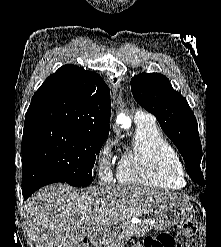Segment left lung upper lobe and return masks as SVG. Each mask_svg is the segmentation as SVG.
I'll list each match as a JSON object with an SVG mask.
<instances>
[{
  "mask_svg": "<svg viewBox=\"0 0 221 247\" xmlns=\"http://www.w3.org/2000/svg\"><path fill=\"white\" fill-rule=\"evenodd\" d=\"M136 102L152 113L162 130L178 148L190 178L205 185L200 168L202 146L197 121L186 99L175 91L169 79L158 73H141L131 79Z\"/></svg>",
  "mask_w": 221,
  "mask_h": 247,
  "instance_id": "left-lung-upper-lobe-1",
  "label": "left lung upper lobe"
}]
</instances>
